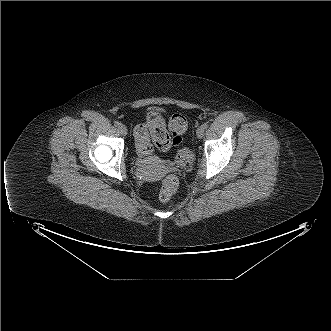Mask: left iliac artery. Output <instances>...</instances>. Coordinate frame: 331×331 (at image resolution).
<instances>
[{
  "label": "left iliac artery",
  "mask_w": 331,
  "mask_h": 331,
  "mask_svg": "<svg viewBox=\"0 0 331 331\" xmlns=\"http://www.w3.org/2000/svg\"><path fill=\"white\" fill-rule=\"evenodd\" d=\"M204 129L208 128V122H205L203 125Z\"/></svg>",
  "instance_id": "left-iliac-artery-1"
}]
</instances>
